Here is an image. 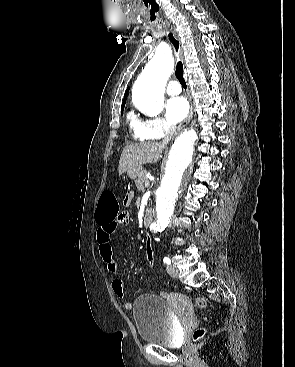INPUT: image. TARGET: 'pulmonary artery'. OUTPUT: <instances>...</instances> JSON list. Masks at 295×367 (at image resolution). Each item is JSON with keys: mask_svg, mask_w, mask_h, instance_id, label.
<instances>
[{"mask_svg": "<svg viewBox=\"0 0 295 367\" xmlns=\"http://www.w3.org/2000/svg\"><path fill=\"white\" fill-rule=\"evenodd\" d=\"M166 92L171 96L178 95L181 92V86L177 81L171 80L167 84Z\"/></svg>", "mask_w": 295, "mask_h": 367, "instance_id": "obj_1", "label": "pulmonary artery"}]
</instances>
